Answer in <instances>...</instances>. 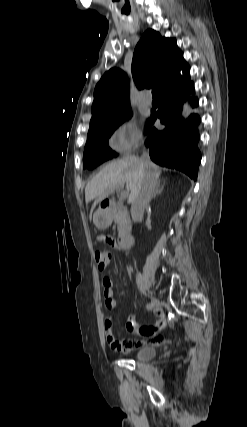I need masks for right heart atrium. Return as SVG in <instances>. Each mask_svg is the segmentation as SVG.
<instances>
[{"mask_svg":"<svg viewBox=\"0 0 247 427\" xmlns=\"http://www.w3.org/2000/svg\"><path fill=\"white\" fill-rule=\"evenodd\" d=\"M142 132L133 120L117 125L109 135V147L119 153H128L142 145Z\"/></svg>","mask_w":247,"mask_h":427,"instance_id":"obj_1","label":"right heart atrium"}]
</instances>
